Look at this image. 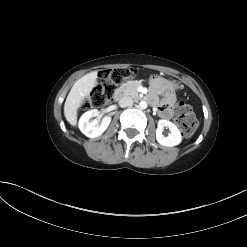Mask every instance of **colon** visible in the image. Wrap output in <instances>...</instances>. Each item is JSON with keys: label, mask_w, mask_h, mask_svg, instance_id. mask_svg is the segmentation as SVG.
I'll use <instances>...</instances> for the list:
<instances>
[{"label": "colon", "mask_w": 247, "mask_h": 247, "mask_svg": "<svg viewBox=\"0 0 247 247\" xmlns=\"http://www.w3.org/2000/svg\"><path fill=\"white\" fill-rule=\"evenodd\" d=\"M136 71L133 68H114L100 73V84L91 92L85 105L93 108H103L116 97L117 86L134 78ZM174 119L185 137L191 136L198 125L191 107L179 102L175 108Z\"/></svg>", "instance_id": "obj_1"}]
</instances>
